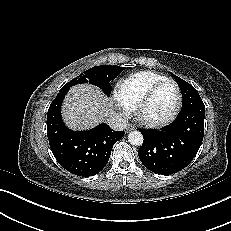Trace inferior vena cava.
Here are the masks:
<instances>
[{"label": "inferior vena cava", "instance_id": "1", "mask_svg": "<svg viewBox=\"0 0 231 231\" xmlns=\"http://www.w3.org/2000/svg\"><path fill=\"white\" fill-rule=\"evenodd\" d=\"M106 123L115 131H122L128 125V119L121 113H111L106 119Z\"/></svg>", "mask_w": 231, "mask_h": 231}]
</instances>
